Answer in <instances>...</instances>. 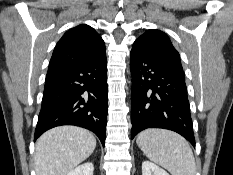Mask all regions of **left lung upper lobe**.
Segmentation results:
<instances>
[{"mask_svg": "<svg viewBox=\"0 0 233 175\" xmlns=\"http://www.w3.org/2000/svg\"><path fill=\"white\" fill-rule=\"evenodd\" d=\"M134 44L144 49L153 57L183 70L179 53L164 32L150 29L142 34Z\"/></svg>", "mask_w": 233, "mask_h": 175, "instance_id": "left-lung-upper-lobe-1", "label": "left lung upper lobe"}]
</instances>
